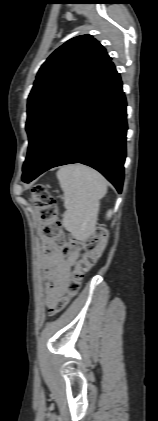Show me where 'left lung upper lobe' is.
Masks as SVG:
<instances>
[{
	"label": "left lung upper lobe",
	"mask_w": 158,
	"mask_h": 421,
	"mask_svg": "<svg viewBox=\"0 0 158 421\" xmlns=\"http://www.w3.org/2000/svg\"><path fill=\"white\" fill-rule=\"evenodd\" d=\"M111 61L91 35L70 39L38 71L27 104L29 147L23 170L31 163L47 130L74 95Z\"/></svg>",
	"instance_id": "1"
}]
</instances>
